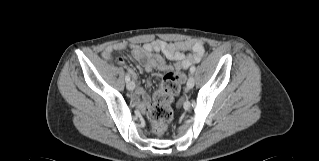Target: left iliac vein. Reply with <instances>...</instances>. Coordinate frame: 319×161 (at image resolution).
Here are the masks:
<instances>
[{"instance_id":"obj_1","label":"left iliac vein","mask_w":319,"mask_h":161,"mask_svg":"<svg viewBox=\"0 0 319 161\" xmlns=\"http://www.w3.org/2000/svg\"><path fill=\"white\" fill-rule=\"evenodd\" d=\"M194 83H195L194 77L191 75L188 78V81H187V84H186L187 89H189V90L192 89L194 87Z\"/></svg>"}]
</instances>
